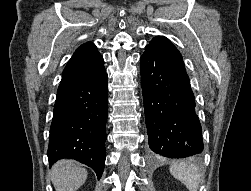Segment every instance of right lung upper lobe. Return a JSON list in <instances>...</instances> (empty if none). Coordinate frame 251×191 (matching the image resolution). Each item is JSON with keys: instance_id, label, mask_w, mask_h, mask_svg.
<instances>
[{"instance_id": "obj_1", "label": "right lung upper lobe", "mask_w": 251, "mask_h": 191, "mask_svg": "<svg viewBox=\"0 0 251 191\" xmlns=\"http://www.w3.org/2000/svg\"><path fill=\"white\" fill-rule=\"evenodd\" d=\"M104 60L92 42L77 48L68 61L57 93L95 80L105 74Z\"/></svg>"}]
</instances>
